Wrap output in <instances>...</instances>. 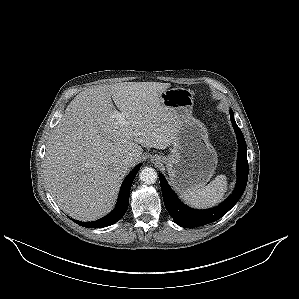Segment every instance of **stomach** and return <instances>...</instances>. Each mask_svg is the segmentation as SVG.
<instances>
[{"instance_id": "obj_1", "label": "stomach", "mask_w": 299, "mask_h": 299, "mask_svg": "<svg viewBox=\"0 0 299 299\" xmlns=\"http://www.w3.org/2000/svg\"><path fill=\"white\" fill-rule=\"evenodd\" d=\"M193 95V91L181 87L167 89L160 95L162 104L176 120V138L163 161L171 184L179 192L206 185L218 162L207 128L192 116Z\"/></svg>"}]
</instances>
